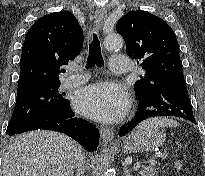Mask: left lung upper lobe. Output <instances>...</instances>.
I'll return each instance as SVG.
<instances>
[{"instance_id":"left-lung-upper-lobe-1","label":"left lung upper lobe","mask_w":205,"mask_h":176,"mask_svg":"<svg viewBox=\"0 0 205 176\" xmlns=\"http://www.w3.org/2000/svg\"><path fill=\"white\" fill-rule=\"evenodd\" d=\"M116 30L129 57L141 61L145 70L134 86L138 98L165 83L185 82L176 36L163 19L147 11H131L119 19Z\"/></svg>"}]
</instances>
